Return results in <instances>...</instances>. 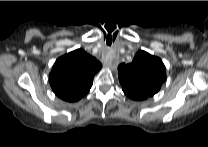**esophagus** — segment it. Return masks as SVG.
<instances>
[{
	"label": "esophagus",
	"mask_w": 208,
	"mask_h": 147,
	"mask_svg": "<svg viewBox=\"0 0 208 147\" xmlns=\"http://www.w3.org/2000/svg\"><path fill=\"white\" fill-rule=\"evenodd\" d=\"M105 65H106V66H110V65H111V61H110V60H107V61L105 62Z\"/></svg>",
	"instance_id": "34e87169"
}]
</instances>
